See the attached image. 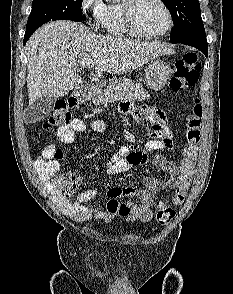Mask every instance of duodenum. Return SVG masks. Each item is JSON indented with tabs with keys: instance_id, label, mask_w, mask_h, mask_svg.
I'll return each mask as SVG.
<instances>
[{
	"instance_id": "obj_1",
	"label": "duodenum",
	"mask_w": 233,
	"mask_h": 294,
	"mask_svg": "<svg viewBox=\"0 0 233 294\" xmlns=\"http://www.w3.org/2000/svg\"><path fill=\"white\" fill-rule=\"evenodd\" d=\"M94 87L83 86L77 88L71 97L68 99V105L71 108H76L79 104L85 101L93 93Z\"/></svg>"
}]
</instances>
